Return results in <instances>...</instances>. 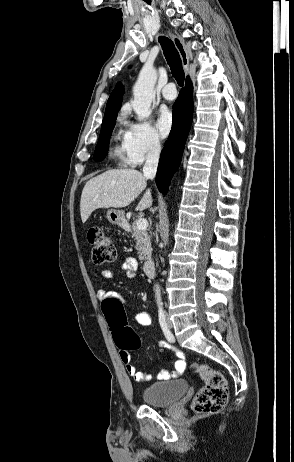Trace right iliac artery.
<instances>
[{
	"mask_svg": "<svg viewBox=\"0 0 294 462\" xmlns=\"http://www.w3.org/2000/svg\"><path fill=\"white\" fill-rule=\"evenodd\" d=\"M159 323L167 340L170 342H174V336L167 326L165 320V313L162 309L159 310Z\"/></svg>",
	"mask_w": 294,
	"mask_h": 462,
	"instance_id": "obj_1",
	"label": "right iliac artery"
}]
</instances>
